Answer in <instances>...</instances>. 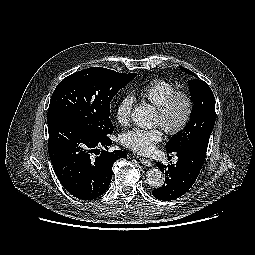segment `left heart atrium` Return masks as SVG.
Instances as JSON below:
<instances>
[{
	"instance_id": "obj_1",
	"label": "left heart atrium",
	"mask_w": 255,
	"mask_h": 255,
	"mask_svg": "<svg viewBox=\"0 0 255 255\" xmlns=\"http://www.w3.org/2000/svg\"><path fill=\"white\" fill-rule=\"evenodd\" d=\"M161 139L162 132L159 128L150 130L136 128L126 131L120 136V141L125 147L139 154L152 152L154 144L161 141Z\"/></svg>"
}]
</instances>
